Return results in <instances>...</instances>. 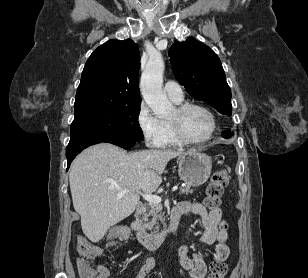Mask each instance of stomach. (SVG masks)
Listing matches in <instances>:
<instances>
[{
    "label": "stomach",
    "mask_w": 308,
    "mask_h": 278,
    "mask_svg": "<svg viewBox=\"0 0 308 278\" xmlns=\"http://www.w3.org/2000/svg\"><path fill=\"white\" fill-rule=\"evenodd\" d=\"M178 174L189 187L203 185L211 174V158L197 150H191L178 158Z\"/></svg>",
    "instance_id": "0dacf381"
}]
</instances>
